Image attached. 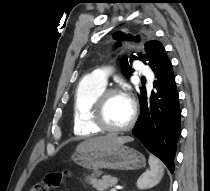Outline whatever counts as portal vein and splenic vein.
Here are the masks:
<instances>
[{
  "instance_id": "portal-vein-and-splenic-vein-1",
  "label": "portal vein and splenic vein",
  "mask_w": 210,
  "mask_h": 191,
  "mask_svg": "<svg viewBox=\"0 0 210 191\" xmlns=\"http://www.w3.org/2000/svg\"><path fill=\"white\" fill-rule=\"evenodd\" d=\"M117 189L114 187V188H111L110 191H116Z\"/></svg>"
}]
</instances>
